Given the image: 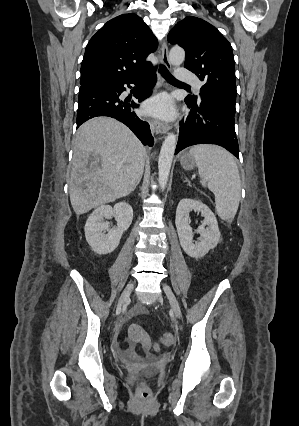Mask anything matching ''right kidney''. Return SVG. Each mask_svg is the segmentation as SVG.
<instances>
[{
  "label": "right kidney",
  "mask_w": 299,
  "mask_h": 426,
  "mask_svg": "<svg viewBox=\"0 0 299 426\" xmlns=\"http://www.w3.org/2000/svg\"><path fill=\"white\" fill-rule=\"evenodd\" d=\"M116 216L117 226L109 229L105 219ZM133 220V209L126 202H118L114 207L102 205L95 209L85 224L86 241L97 254L113 252L119 245L120 239ZM105 232H108L105 234Z\"/></svg>",
  "instance_id": "1"
}]
</instances>
